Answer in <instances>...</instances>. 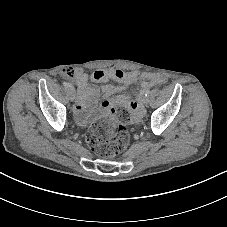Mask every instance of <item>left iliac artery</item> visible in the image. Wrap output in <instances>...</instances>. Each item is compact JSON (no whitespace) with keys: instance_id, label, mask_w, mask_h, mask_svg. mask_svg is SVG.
I'll use <instances>...</instances> for the list:
<instances>
[{"instance_id":"left-iliac-artery-1","label":"left iliac artery","mask_w":227,"mask_h":227,"mask_svg":"<svg viewBox=\"0 0 227 227\" xmlns=\"http://www.w3.org/2000/svg\"><path fill=\"white\" fill-rule=\"evenodd\" d=\"M149 94H150V90H146L144 95H145V97H148Z\"/></svg>"}]
</instances>
